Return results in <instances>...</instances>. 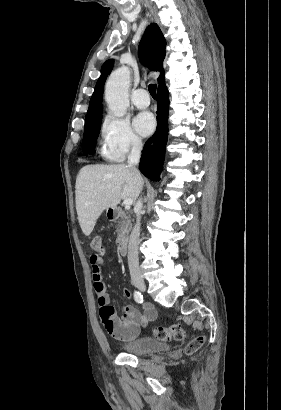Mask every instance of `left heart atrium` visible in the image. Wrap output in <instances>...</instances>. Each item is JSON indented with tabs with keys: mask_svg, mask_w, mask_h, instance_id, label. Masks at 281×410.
Listing matches in <instances>:
<instances>
[{
	"mask_svg": "<svg viewBox=\"0 0 281 410\" xmlns=\"http://www.w3.org/2000/svg\"><path fill=\"white\" fill-rule=\"evenodd\" d=\"M137 132L143 136L151 134L155 128V119L149 112H142L134 120Z\"/></svg>",
	"mask_w": 281,
	"mask_h": 410,
	"instance_id": "obj_1",
	"label": "left heart atrium"
}]
</instances>
